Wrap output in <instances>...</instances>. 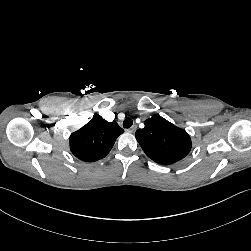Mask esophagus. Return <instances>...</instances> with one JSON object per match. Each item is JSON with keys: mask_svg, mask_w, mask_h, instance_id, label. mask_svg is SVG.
I'll list each match as a JSON object with an SVG mask.
<instances>
[{"mask_svg": "<svg viewBox=\"0 0 251 251\" xmlns=\"http://www.w3.org/2000/svg\"><path fill=\"white\" fill-rule=\"evenodd\" d=\"M136 129H137V126L136 125H133L131 128H129L127 131L129 132V133H134L135 131H136Z\"/></svg>", "mask_w": 251, "mask_h": 251, "instance_id": "34e87169", "label": "esophagus"}]
</instances>
